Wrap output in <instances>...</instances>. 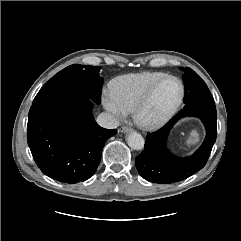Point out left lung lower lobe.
<instances>
[{
    "label": "left lung lower lobe",
    "instance_id": "obj_1",
    "mask_svg": "<svg viewBox=\"0 0 241 241\" xmlns=\"http://www.w3.org/2000/svg\"><path fill=\"white\" fill-rule=\"evenodd\" d=\"M184 116L200 118L207 134L202 145L192 156L179 158L166 148V140L172 126ZM216 120L214 102H202L184 107L162 128L146 136L144 150L135 160L139 174L147 181L165 184L182 181L202 169L216 141Z\"/></svg>",
    "mask_w": 241,
    "mask_h": 241
}]
</instances>
